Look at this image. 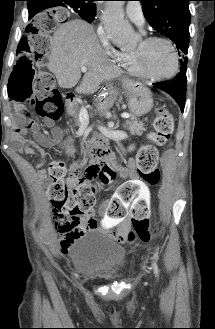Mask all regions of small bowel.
<instances>
[{
	"label": "small bowel",
	"instance_id": "small-bowel-1",
	"mask_svg": "<svg viewBox=\"0 0 215 329\" xmlns=\"http://www.w3.org/2000/svg\"><path fill=\"white\" fill-rule=\"evenodd\" d=\"M47 125H51L50 121ZM34 129L35 140H27L25 138L28 132L27 127H15V137L18 149L27 155L35 156L45 147H51L56 144L61 134L57 128H53V136L48 137L40 134ZM83 167L82 162L74 164L70 169L68 180L71 183L76 182L73 173L76 170H81ZM120 176L127 178V182H121L120 187H117L115 194L108 201L101 204L98 209L101 219L103 220L102 226L96 219L95 212H91L86 216L79 218L76 221H69L60 223V217L57 212L53 211V217L56 220V228L63 235L59 251L63 255L71 252L73 242L81 235L88 231L103 230L111 235H114L118 241H126L129 239L128 232L130 227L129 218H151V206H149L151 187H147L146 182H142V178H137L134 162L130 160L127 166L120 169ZM45 172L38 171V176L43 177ZM111 202V203H110ZM130 210V211H129ZM109 227H119L116 232L109 230Z\"/></svg>",
	"mask_w": 215,
	"mask_h": 329
}]
</instances>
